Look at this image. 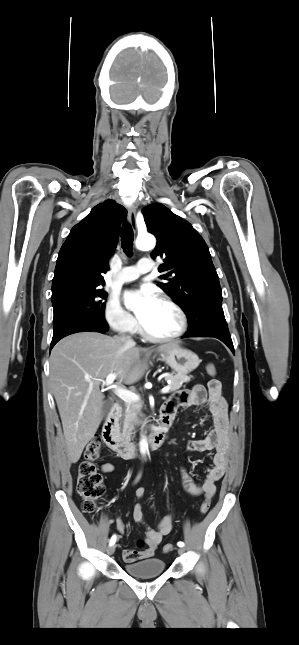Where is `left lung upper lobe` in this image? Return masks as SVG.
Listing matches in <instances>:
<instances>
[{"label": "left lung upper lobe", "mask_w": 299, "mask_h": 645, "mask_svg": "<svg viewBox=\"0 0 299 645\" xmlns=\"http://www.w3.org/2000/svg\"><path fill=\"white\" fill-rule=\"evenodd\" d=\"M142 213L148 232L158 239L151 257H163L158 268L165 272L158 286L174 297L185 312L189 332L203 330L209 311L222 304V293L209 249L192 225L160 203L146 206Z\"/></svg>", "instance_id": "1"}]
</instances>
